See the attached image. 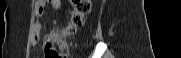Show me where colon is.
I'll list each match as a JSON object with an SVG mask.
<instances>
[{"mask_svg": "<svg viewBox=\"0 0 181 58\" xmlns=\"http://www.w3.org/2000/svg\"><path fill=\"white\" fill-rule=\"evenodd\" d=\"M73 7L71 18L64 33L67 35L73 34L77 29L83 25L85 16L91 9L90 0H71ZM59 36L56 38H47L45 40L44 49L46 58H66V53L58 52L55 49V43L58 42Z\"/></svg>", "mask_w": 181, "mask_h": 58, "instance_id": "obj_1", "label": "colon"}]
</instances>
